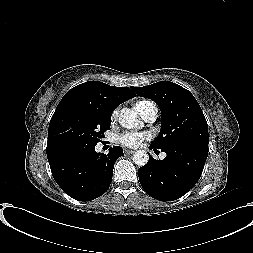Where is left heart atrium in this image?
Segmentation results:
<instances>
[{
    "instance_id": "39dd6f15",
    "label": "left heart atrium",
    "mask_w": 253,
    "mask_h": 253,
    "mask_svg": "<svg viewBox=\"0 0 253 253\" xmlns=\"http://www.w3.org/2000/svg\"><path fill=\"white\" fill-rule=\"evenodd\" d=\"M148 132L127 131L119 135L118 142L124 146L135 148L150 138Z\"/></svg>"
}]
</instances>
